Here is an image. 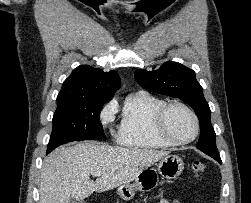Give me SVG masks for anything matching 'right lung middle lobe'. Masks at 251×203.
<instances>
[{
  "label": "right lung middle lobe",
  "instance_id": "dd1d6c3e",
  "mask_svg": "<svg viewBox=\"0 0 251 203\" xmlns=\"http://www.w3.org/2000/svg\"><path fill=\"white\" fill-rule=\"evenodd\" d=\"M104 102L107 101H78L57 106L47 154L64 143L104 139L99 118Z\"/></svg>",
  "mask_w": 251,
  "mask_h": 203
}]
</instances>
